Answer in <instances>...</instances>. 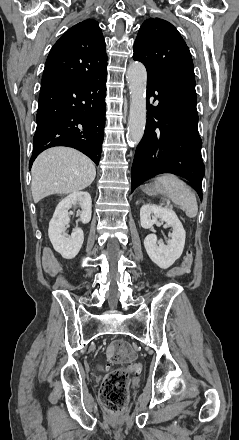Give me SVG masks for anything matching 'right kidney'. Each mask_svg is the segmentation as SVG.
Here are the masks:
<instances>
[{
  "instance_id": "right-kidney-1",
  "label": "right kidney",
  "mask_w": 239,
  "mask_h": 440,
  "mask_svg": "<svg viewBox=\"0 0 239 440\" xmlns=\"http://www.w3.org/2000/svg\"><path fill=\"white\" fill-rule=\"evenodd\" d=\"M72 206H80L81 208L78 222L88 224L92 214L90 194H88V192H73V194H69L67 198H63V200L59 202L53 214V218L50 220L48 230L49 238L51 242H53V247L56 248V252L64 254L65 260H70L71 257L75 258L78 252H80L84 242V234L81 228H76L70 238H66L63 234L66 226H68L70 222L68 210H70Z\"/></svg>"
}]
</instances>
